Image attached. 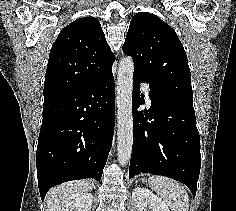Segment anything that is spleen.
I'll return each mask as SVG.
<instances>
[{
    "mask_svg": "<svg viewBox=\"0 0 236 211\" xmlns=\"http://www.w3.org/2000/svg\"><path fill=\"white\" fill-rule=\"evenodd\" d=\"M150 187L163 199L171 211H188L189 196L185 188L177 181L164 176H151Z\"/></svg>",
    "mask_w": 236,
    "mask_h": 211,
    "instance_id": "obj_1",
    "label": "spleen"
}]
</instances>
